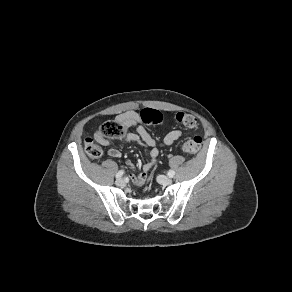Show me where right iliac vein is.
<instances>
[{"mask_svg":"<svg viewBox=\"0 0 292 292\" xmlns=\"http://www.w3.org/2000/svg\"><path fill=\"white\" fill-rule=\"evenodd\" d=\"M115 183L117 186H124L125 181L122 178H118Z\"/></svg>","mask_w":292,"mask_h":292,"instance_id":"63e3f726","label":"right iliac vein"}]
</instances>
